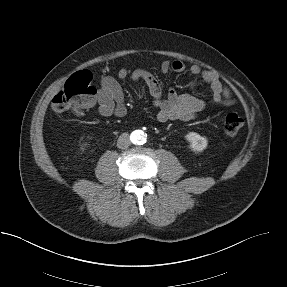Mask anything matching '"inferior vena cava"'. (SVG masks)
Masks as SVG:
<instances>
[{
	"mask_svg": "<svg viewBox=\"0 0 287 287\" xmlns=\"http://www.w3.org/2000/svg\"><path fill=\"white\" fill-rule=\"evenodd\" d=\"M130 145L131 141L129 135L127 133L121 134L117 140V147L120 149H127Z\"/></svg>",
	"mask_w": 287,
	"mask_h": 287,
	"instance_id": "obj_1",
	"label": "inferior vena cava"
}]
</instances>
